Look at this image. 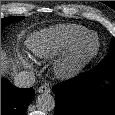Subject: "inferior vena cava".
Returning a JSON list of instances; mask_svg holds the SVG:
<instances>
[{"label":"inferior vena cava","instance_id":"obj_1","mask_svg":"<svg viewBox=\"0 0 115 115\" xmlns=\"http://www.w3.org/2000/svg\"><path fill=\"white\" fill-rule=\"evenodd\" d=\"M35 83V76L32 72L21 71L14 77V85L19 88H29Z\"/></svg>","mask_w":115,"mask_h":115}]
</instances>
